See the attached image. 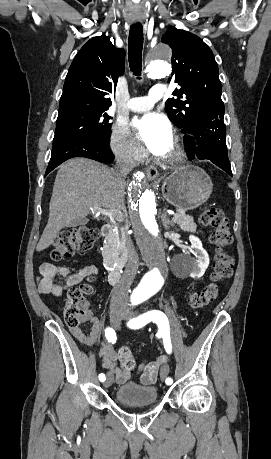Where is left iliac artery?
Instances as JSON below:
<instances>
[{
	"label": "left iliac artery",
	"mask_w": 271,
	"mask_h": 459,
	"mask_svg": "<svg viewBox=\"0 0 271 459\" xmlns=\"http://www.w3.org/2000/svg\"><path fill=\"white\" fill-rule=\"evenodd\" d=\"M156 323L158 325V335L163 336L164 348L168 354L172 351V345L169 334V322L166 315L159 310L148 311L137 318L131 319L127 326L131 329H139L149 322ZM173 380L168 378L166 380V386H172Z\"/></svg>",
	"instance_id": "obj_1"
}]
</instances>
